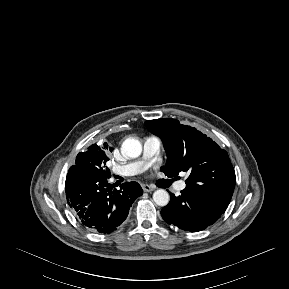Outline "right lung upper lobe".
Returning <instances> with one entry per match:
<instances>
[{
	"label": "right lung upper lobe",
	"mask_w": 289,
	"mask_h": 289,
	"mask_svg": "<svg viewBox=\"0 0 289 289\" xmlns=\"http://www.w3.org/2000/svg\"><path fill=\"white\" fill-rule=\"evenodd\" d=\"M96 145H97V144H96ZM94 146H95V144L91 145L90 147H94ZM90 147H89V148H90ZM103 148H104L106 151H108V150L112 151V148H111V147H108V144H106V143H104ZM80 153H81V152H80Z\"/></svg>",
	"instance_id": "1"
}]
</instances>
